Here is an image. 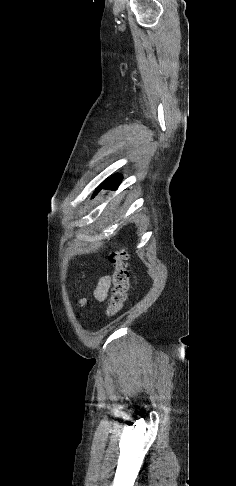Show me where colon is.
<instances>
[{"mask_svg": "<svg viewBox=\"0 0 236 486\" xmlns=\"http://www.w3.org/2000/svg\"><path fill=\"white\" fill-rule=\"evenodd\" d=\"M127 252L123 249H115L109 255L113 266L110 301L106 309L108 316H114L122 309L129 289V272L127 269Z\"/></svg>", "mask_w": 236, "mask_h": 486, "instance_id": "obj_1", "label": "colon"}]
</instances>
